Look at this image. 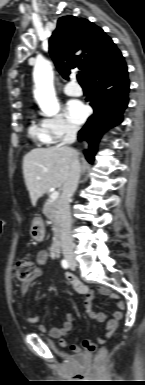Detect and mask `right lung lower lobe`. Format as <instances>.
Instances as JSON below:
<instances>
[{"label": "right lung lower lobe", "instance_id": "obj_1", "mask_svg": "<svg viewBox=\"0 0 145 385\" xmlns=\"http://www.w3.org/2000/svg\"><path fill=\"white\" fill-rule=\"evenodd\" d=\"M90 102L94 114L79 131V140H86L89 148L86 159L93 162L97 144L102 134L122 121V113L128 104L129 80L126 63H121L110 73L99 75L88 82Z\"/></svg>", "mask_w": 145, "mask_h": 385}]
</instances>
